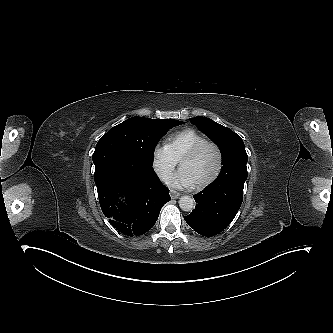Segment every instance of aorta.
<instances>
[{
    "mask_svg": "<svg viewBox=\"0 0 333 333\" xmlns=\"http://www.w3.org/2000/svg\"><path fill=\"white\" fill-rule=\"evenodd\" d=\"M179 207L186 212L192 211L195 207V201L190 196H182L179 200Z\"/></svg>",
    "mask_w": 333,
    "mask_h": 333,
    "instance_id": "1",
    "label": "aorta"
}]
</instances>
